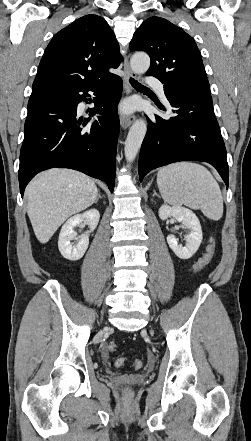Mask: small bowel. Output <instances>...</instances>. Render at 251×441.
I'll return each mask as SVG.
<instances>
[{
	"mask_svg": "<svg viewBox=\"0 0 251 441\" xmlns=\"http://www.w3.org/2000/svg\"><path fill=\"white\" fill-rule=\"evenodd\" d=\"M103 356L106 358V353H103Z\"/></svg>",
	"mask_w": 251,
	"mask_h": 441,
	"instance_id": "obj_1",
	"label": "small bowel"
}]
</instances>
